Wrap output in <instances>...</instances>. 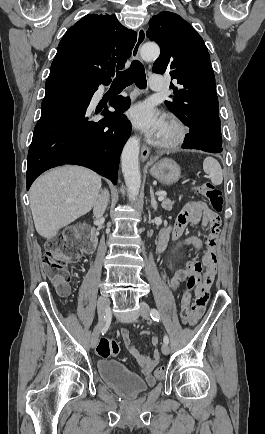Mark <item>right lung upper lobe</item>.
<instances>
[{
    "instance_id": "obj_1",
    "label": "right lung upper lobe",
    "mask_w": 265,
    "mask_h": 434,
    "mask_svg": "<svg viewBox=\"0 0 265 434\" xmlns=\"http://www.w3.org/2000/svg\"><path fill=\"white\" fill-rule=\"evenodd\" d=\"M136 36L115 14L86 15L64 34L50 74L110 78L131 56Z\"/></svg>"
}]
</instances>
